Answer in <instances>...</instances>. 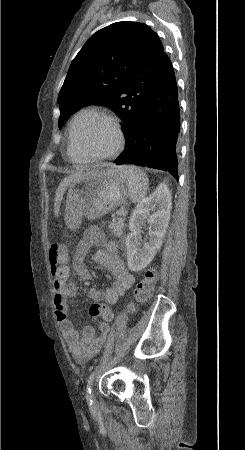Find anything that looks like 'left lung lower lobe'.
Returning a JSON list of instances; mask_svg holds the SVG:
<instances>
[{"label": "left lung lower lobe", "instance_id": "obj_1", "mask_svg": "<svg viewBox=\"0 0 245 450\" xmlns=\"http://www.w3.org/2000/svg\"><path fill=\"white\" fill-rule=\"evenodd\" d=\"M180 109L172 63L149 93L126 141L114 161L168 171L178 180L177 154Z\"/></svg>", "mask_w": 245, "mask_h": 450}]
</instances>
